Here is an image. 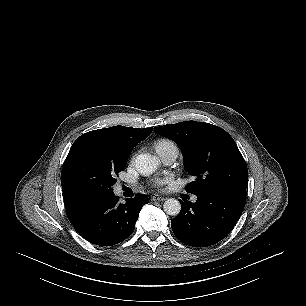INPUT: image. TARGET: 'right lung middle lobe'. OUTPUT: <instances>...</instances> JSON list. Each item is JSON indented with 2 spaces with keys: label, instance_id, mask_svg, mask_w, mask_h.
I'll return each mask as SVG.
<instances>
[{
  "label": "right lung middle lobe",
  "instance_id": "obj_1",
  "mask_svg": "<svg viewBox=\"0 0 306 306\" xmlns=\"http://www.w3.org/2000/svg\"><path fill=\"white\" fill-rule=\"evenodd\" d=\"M128 156L80 145L66 157L61 172L62 189L83 201L109 197L113 195L115 175L124 169Z\"/></svg>",
  "mask_w": 306,
  "mask_h": 306
}]
</instances>
